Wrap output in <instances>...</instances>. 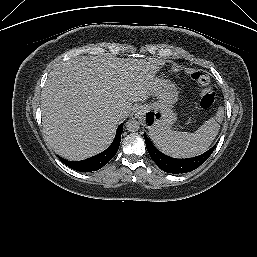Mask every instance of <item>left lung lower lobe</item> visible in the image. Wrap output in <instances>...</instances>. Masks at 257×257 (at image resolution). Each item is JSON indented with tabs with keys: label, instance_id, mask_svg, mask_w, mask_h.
I'll return each instance as SVG.
<instances>
[{
	"label": "left lung lower lobe",
	"instance_id": "obj_1",
	"mask_svg": "<svg viewBox=\"0 0 257 257\" xmlns=\"http://www.w3.org/2000/svg\"><path fill=\"white\" fill-rule=\"evenodd\" d=\"M147 150L156 163V165L164 172L172 174H180L193 171L202 165L212 154L216 145L205 153L192 158L178 159L172 158L160 152L150 141L148 136L144 134Z\"/></svg>",
	"mask_w": 257,
	"mask_h": 257
}]
</instances>
